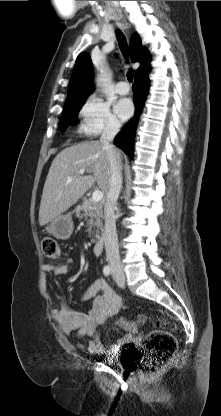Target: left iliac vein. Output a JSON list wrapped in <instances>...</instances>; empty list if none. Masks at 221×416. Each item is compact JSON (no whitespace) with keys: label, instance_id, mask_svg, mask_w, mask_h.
I'll return each instance as SVG.
<instances>
[{"label":"left iliac vein","instance_id":"obj_1","mask_svg":"<svg viewBox=\"0 0 221 416\" xmlns=\"http://www.w3.org/2000/svg\"><path fill=\"white\" fill-rule=\"evenodd\" d=\"M114 279L119 287L125 286V277L123 274H117L116 276H114Z\"/></svg>","mask_w":221,"mask_h":416}]
</instances>
